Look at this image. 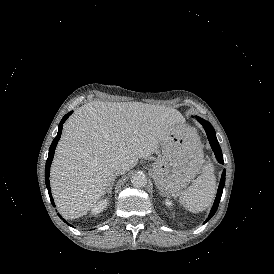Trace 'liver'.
I'll return each mask as SVG.
<instances>
[{"label": "liver", "mask_w": 274, "mask_h": 274, "mask_svg": "<svg viewBox=\"0 0 274 274\" xmlns=\"http://www.w3.org/2000/svg\"><path fill=\"white\" fill-rule=\"evenodd\" d=\"M186 127L172 107L136 101L81 106L64 125L51 168L58 209L67 219L86 215L122 167L125 173L133 169L139 159L156 153L172 132H185Z\"/></svg>", "instance_id": "1"}]
</instances>
